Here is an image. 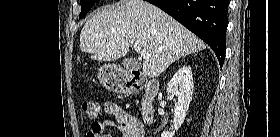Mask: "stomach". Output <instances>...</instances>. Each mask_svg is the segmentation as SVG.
I'll use <instances>...</instances> for the list:
<instances>
[{
	"instance_id": "0dacf381",
	"label": "stomach",
	"mask_w": 280,
	"mask_h": 137,
	"mask_svg": "<svg viewBox=\"0 0 280 137\" xmlns=\"http://www.w3.org/2000/svg\"><path fill=\"white\" fill-rule=\"evenodd\" d=\"M98 77L101 83L109 90L115 92H124V88L119 87L117 83L116 72L113 71L112 65H103L99 69Z\"/></svg>"
}]
</instances>
